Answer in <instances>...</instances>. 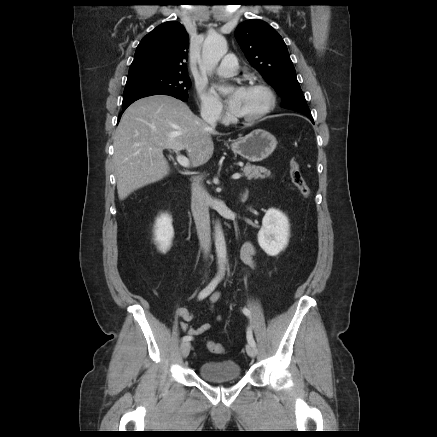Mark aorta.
Returning a JSON list of instances; mask_svg holds the SVG:
<instances>
[{
    "label": "aorta",
    "instance_id": "762f6f07",
    "mask_svg": "<svg viewBox=\"0 0 437 437\" xmlns=\"http://www.w3.org/2000/svg\"><path fill=\"white\" fill-rule=\"evenodd\" d=\"M227 50V41L222 35H209L203 44L200 69L208 73L212 72L221 58L227 53ZM214 232L218 274L224 276L227 250L224 233L219 222H216Z\"/></svg>",
    "mask_w": 437,
    "mask_h": 437
}]
</instances>
